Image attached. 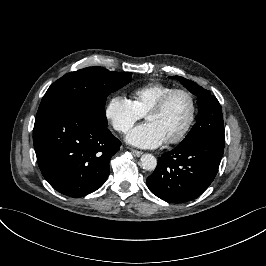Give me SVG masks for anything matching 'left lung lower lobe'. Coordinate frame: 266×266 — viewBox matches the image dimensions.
Here are the masks:
<instances>
[{
  "instance_id": "left-lung-lower-lobe-1",
  "label": "left lung lower lobe",
  "mask_w": 266,
  "mask_h": 266,
  "mask_svg": "<svg viewBox=\"0 0 266 266\" xmlns=\"http://www.w3.org/2000/svg\"><path fill=\"white\" fill-rule=\"evenodd\" d=\"M224 144L223 138L203 137L162 154L146 180L149 190L169 203L196 199L214 180Z\"/></svg>"
}]
</instances>
